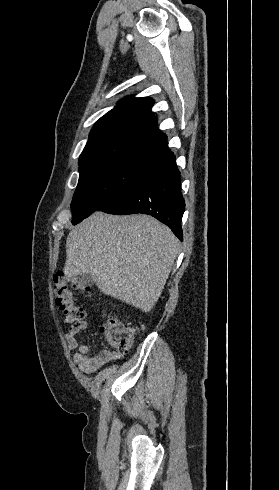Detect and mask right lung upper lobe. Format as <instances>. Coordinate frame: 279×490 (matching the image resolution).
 <instances>
[{
	"instance_id": "cb5924a9",
	"label": "right lung upper lobe",
	"mask_w": 279,
	"mask_h": 490,
	"mask_svg": "<svg viewBox=\"0 0 279 490\" xmlns=\"http://www.w3.org/2000/svg\"><path fill=\"white\" fill-rule=\"evenodd\" d=\"M153 104L146 97L121 100L95 123L79 166L108 160L156 164L170 155L167 136L158 129L152 115Z\"/></svg>"
}]
</instances>
